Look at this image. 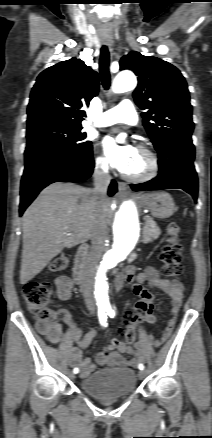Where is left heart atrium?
<instances>
[{
  "instance_id": "39dd6f15",
  "label": "left heart atrium",
  "mask_w": 212,
  "mask_h": 438,
  "mask_svg": "<svg viewBox=\"0 0 212 438\" xmlns=\"http://www.w3.org/2000/svg\"><path fill=\"white\" fill-rule=\"evenodd\" d=\"M102 146L110 163L121 172H126L137 153L135 147L121 146L112 137H105Z\"/></svg>"
}]
</instances>
